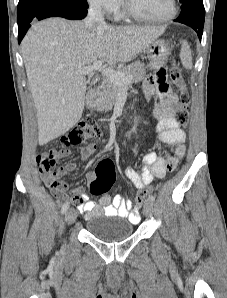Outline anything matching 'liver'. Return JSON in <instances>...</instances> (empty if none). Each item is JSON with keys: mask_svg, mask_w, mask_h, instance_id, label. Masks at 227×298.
Returning <instances> with one entry per match:
<instances>
[{"mask_svg": "<svg viewBox=\"0 0 227 298\" xmlns=\"http://www.w3.org/2000/svg\"><path fill=\"white\" fill-rule=\"evenodd\" d=\"M164 27H86L84 21L49 18L33 24L21 43L38 121V142L47 144L81 118L87 82L78 69L133 60Z\"/></svg>", "mask_w": 227, "mask_h": 298, "instance_id": "obj_1", "label": "liver"}]
</instances>
